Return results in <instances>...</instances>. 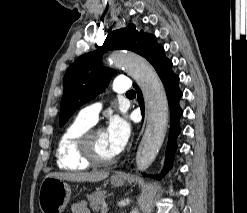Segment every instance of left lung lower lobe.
I'll return each mask as SVG.
<instances>
[{"instance_id":"0a47b994","label":"left lung lower lobe","mask_w":247,"mask_h":213,"mask_svg":"<svg viewBox=\"0 0 247 213\" xmlns=\"http://www.w3.org/2000/svg\"><path fill=\"white\" fill-rule=\"evenodd\" d=\"M155 70L157 71L159 77L161 78L167 93L168 104L171 112V124L169 130V140L166 149V159H165V168L161 175H159V179L165 174L166 170L171 167V161L174 157V153L177 148L176 138L180 133L181 129L179 127V119L182 115V110L179 107V99L182 96V92L178 88L179 77L175 75L171 68L172 62L167 58L160 61L156 65H154ZM138 100L140 106L142 107L143 113V98L141 91L136 87Z\"/></svg>"}]
</instances>
